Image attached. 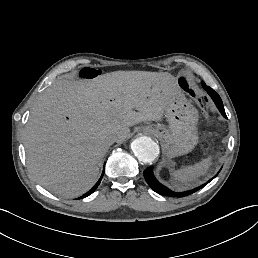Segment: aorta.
I'll use <instances>...</instances> for the list:
<instances>
[{"instance_id": "obj_1", "label": "aorta", "mask_w": 258, "mask_h": 258, "mask_svg": "<svg viewBox=\"0 0 258 258\" xmlns=\"http://www.w3.org/2000/svg\"><path fill=\"white\" fill-rule=\"evenodd\" d=\"M131 149L138 160L144 163L153 162L160 153L158 144L147 136L136 138L131 143Z\"/></svg>"}]
</instances>
